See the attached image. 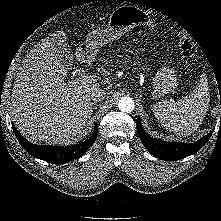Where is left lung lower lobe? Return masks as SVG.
<instances>
[{
    "mask_svg": "<svg viewBox=\"0 0 221 221\" xmlns=\"http://www.w3.org/2000/svg\"><path fill=\"white\" fill-rule=\"evenodd\" d=\"M136 129L141 141L150 154L165 161H175L195 154L206 144L213 133L211 131L195 143L187 144L181 142H164L151 137L144 131L139 117L136 122Z\"/></svg>",
    "mask_w": 221,
    "mask_h": 221,
    "instance_id": "left-lung-lower-lobe-1",
    "label": "left lung lower lobe"
}]
</instances>
